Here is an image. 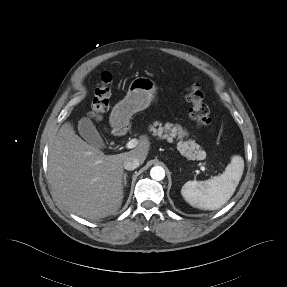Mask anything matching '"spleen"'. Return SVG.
Returning <instances> with one entry per match:
<instances>
[{"label":"spleen","instance_id":"spleen-1","mask_svg":"<svg viewBox=\"0 0 287 287\" xmlns=\"http://www.w3.org/2000/svg\"><path fill=\"white\" fill-rule=\"evenodd\" d=\"M244 171V160L234 155L225 171L206 181H188L181 194L191 206L202 210L221 208L234 194Z\"/></svg>","mask_w":287,"mask_h":287}]
</instances>
